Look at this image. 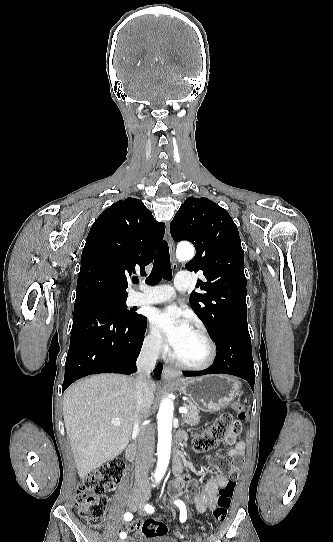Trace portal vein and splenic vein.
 <instances>
[{"label": "portal vein and splenic vein", "mask_w": 333, "mask_h": 542, "mask_svg": "<svg viewBox=\"0 0 333 542\" xmlns=\"http://www.w3.org/2000/svg\"><path fill=\"white\" fill-rule=\"evenodd\" d=\"M179 414H188L187 408H179L178 410ZM113 426H121V422H111Z\"/></svg>", "instance_id": "18ae733b"}]
</instances>
